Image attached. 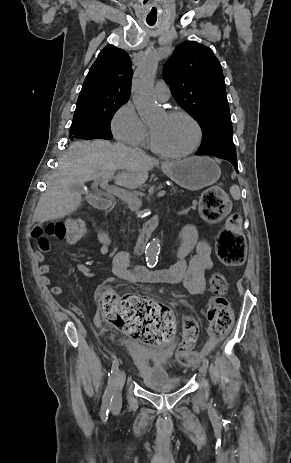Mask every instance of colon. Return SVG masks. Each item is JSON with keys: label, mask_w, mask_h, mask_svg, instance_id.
<instances>
[{"label": "colon", "mask_w": 291, "mask_h": 463, "mask_svg": "<svg viewBox=\"0 0 291 463\" xmlns=\"http://www.w3.org/2000/svg\"><path fill=\"white\" fill-rule=\"evenodd\" d=\"M229 209V197L220 187H210L202 194L200 211L206 221L210 223L219 221ZM86 233L87 227L80 219L37 225L33 231L34 235L67 240L81 239ZM216 252L219 260L226 265L243 264L245 238L241 229V217L238 214L229 216L220 230ZM211 289L214 296L210 301L207 317L211 338L216 341L228 333L234 321V314L229 302L223 297L226 285L220 275L212 277ZM97 297L103 320L122 332L144 342L158 345L169 342L173 337L175 322L167 307L138 296L120 298L107 287L100 288ZM184 327L183 340L176 356L180 364L188 365L196 359L191 348L197 338L198 327L192 320H187Z\"/></svg>", "instance_id": "obj_1"}]
</instances>
